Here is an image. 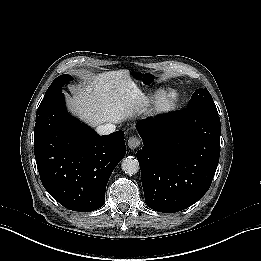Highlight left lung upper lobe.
<instances>
[{"mask_svg":"<svg viewBox=\"0 0 261 261\" xmlns=\"http://www.w3.org/2000/svg\"><path fill=\"white\" fill-rule=\"evenodd\" d=\"M187 108H202L217 111L213 99L207 89L196 90Z\"/></svg>","mask_w":261,"mask_h":261,"instance_id":"obj_1","label":"left lung upper lobe"}]
</instances>
